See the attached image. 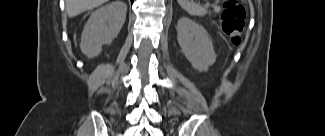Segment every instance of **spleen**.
<instances>
[{"mask_svg":"<svg viewBox=\"0 0 325 136\" xmlns=\"http://www.w3.org/2000/svg\"><path fill=\"white\" fill-rule=\"evenodd\" d=\"M180 6L187 11L188 14L193 16H204L207 14V10L201 5L196 4L192 0H179Z\"/></svg>","mask_w":325,"mask_h":136,"instance_id":"3e777b00","label":"spleen"}]
</instances>
